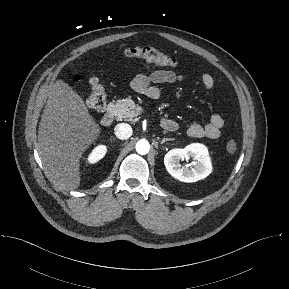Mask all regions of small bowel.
<instances>
[{"label": "small bowel", "mask_w": 289, "mask_h": 289, "mask_svg": "<svg viewBox=\"0 0 289 289\" xmlns=\"http://www.w3.org/2000/svg\"><path fill=\"white\" fill-rule=\"evenodd\" d=\"M183 79L184 76L181 73H176L171 70H155L149 74L138 75L133 80L132 87L136 92L140 94H144L152 99H157L161 95V84L177 83L181 82ZM201 82L207 93H209L213 89L215 84L213 76L209 73H204L202 75ZM166 120L173 121L171 119ZM224 123L225 121L220 115L213 114L210 117L208 123L205 125H201L198 123L191 124L187 128V133L189 136L194 138L205 137L209 139H217L221 134ZM163 128L167 131H174L176 129L175 128L172 130L165 127Z\"/></svg>", "instance_id": "small-bowel-1"}]
</instances>
